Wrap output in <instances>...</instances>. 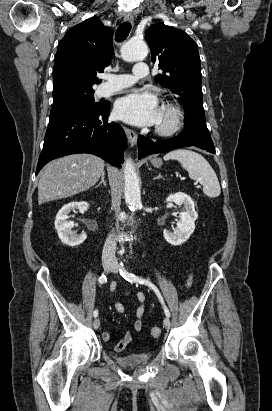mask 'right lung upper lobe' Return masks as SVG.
I'll list each match as a JSON object with an SVG mask.
<instances>
[{
    "label": "right lung upper lobe",
    "mask_w": 272,
    "mask_h": 411,
    "mask_svg": "<svg viewBox=\"0 0 272 411\" xmlns=\"http://www.w3.org/2000/svg\"><path fill=\"white\" fill-rule=\"evenodd\" d=\"M113 31L92 17L72 27L61 40L53 70V99L59 102L72 93L92 89L96 77L113 56Z\"/></svg>",
    "instance_id": "1"
}]
</instances>
